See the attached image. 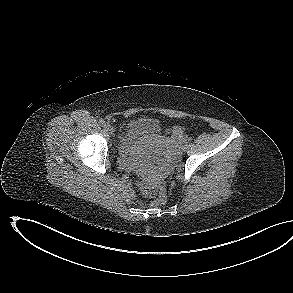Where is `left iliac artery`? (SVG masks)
<instances>
[{
    "mask_svg": "<svg viewBox=\"0 0 293 293\" xmlns=\"http://www.w3.org/2000/svg\"><path fill=\"white\" fill-rule=\"evenodd\" d=\"M191 140H192L191 137H189L186 141L190 142Z\"/></svg>",
    "mask_w": 293,
    "mask_h": 293,
    "instance_id": "obj_1",
    "label": "left iliac artery"
}]
</instances>
